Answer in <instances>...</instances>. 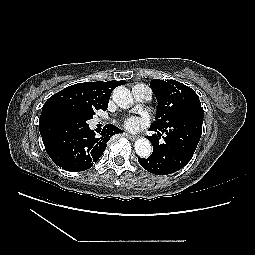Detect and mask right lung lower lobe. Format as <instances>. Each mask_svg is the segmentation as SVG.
Masks as SVG:
<instances>
[{
	"label": "right lung lower lobe",
	"mask_w": 255,
	"mask_h": 255,
	"mask_svg": "<svg viewBox=\"0 0 255 255\" xmlns=\"http://www.w3.org/2000/svg\"><path fill=\"white\" fill-rule=\"evenodd\" d=\"M120 132V129L108 124L99 137L95 136L89 126L76 135L67 137L52 127L40 126V134L50 158L59 167L73 172L92 167L105 151L109 138Z\"/></svg>",
	"instance_id": "right-lung-lower-lobe-1"
}]
</instances>
